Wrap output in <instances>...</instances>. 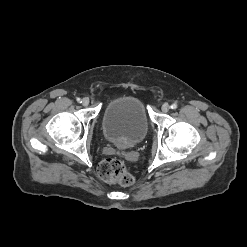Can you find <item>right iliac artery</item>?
I'll list each match as a JSON object with an SVG mask.
<instances>
[{
	"instance_id": "82829eb1",
	"label": "right iliac artery",
	"mask_w": 247,
	"mask_h": 247,
	"mask_svg": "<svg viewBox=\"0 0 247 247\" xmlns=\"http://www.w3.org/2000/svg\"><path fill=\"white\" fill-rule=\"evenodd\" d=\"M77 102L81 103L82 102L81 98H77Z\"/></svg>"
}]
</instances>
